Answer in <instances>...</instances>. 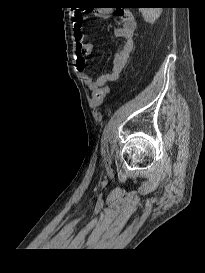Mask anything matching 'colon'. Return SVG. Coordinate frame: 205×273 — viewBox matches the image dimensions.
<instances>
[{"label":"colon","instance_id":"obj_1","mask_svg":"<svg viewBox=\"0 0 205 273\" xmlns=\"http://www.w3.org/2000/svg\"><path fill=\"white\" fill-rule=\"evenodd\" d=\"M108 91L109 88L105 86L94 93L93 100L95 105H100L103 102Z\"/></svg>","mask_w":205,"mask_h":273}]
</instances>
